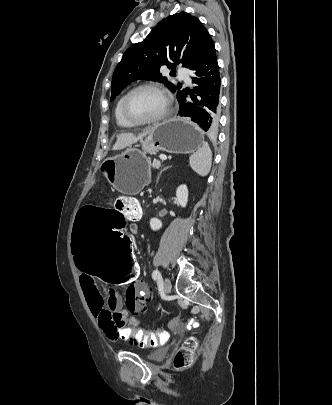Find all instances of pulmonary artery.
Returning a JSON list of instances; mask_svg holds the SVG:
<instances>
[{"label": "pulmonary artery", "mask_w": 332, "mask_h": 405, "mask_svg": "<svg viewBox=\"0 0 332 405\" xmlns=\"http://www.w3.org/2000/svg\"><path fill=\"white\" fill-rule=\"evenodd\" d=\"M178 74H179V77H180L181 79L185 80L186 82H190L189 75H188V73H187V71H186L185 69L180 68V69L178 70Z\"/></svg>", "instance_id": "pulmonary-artery-1"}]
</instances>
